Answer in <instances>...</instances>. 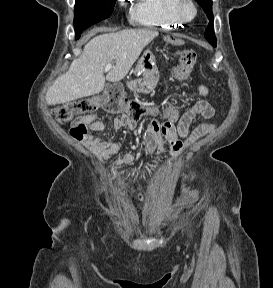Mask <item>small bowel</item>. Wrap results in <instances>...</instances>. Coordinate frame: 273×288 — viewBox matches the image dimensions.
Listing matches in <instances>:
<instances>
[{
  "mask_svg": "<svg viewBox=\"0 0 273 288\" xmlns=\"http://www.w3.org/2000/svg\"><path fill=\"white\" fill-rule=\"evenodd\" d=\"M198 90L203 97H207L209 94L208 88L204 85H200ZM175 99L180 103L183 102L179 96H175ZM215 113V108L208 100L198 99L184 111L177 125L171 121L160 122L151 120L144 136L146 151L159 154L164 150L166 143L171 156H179L186 148L211 133L216 127L213 123H203L190 132L191 124L196 116L200 115L210 120L215 116ZM142 114V110L135 115L122 114L114 119L113 127L115 130L122 128L134 130ZM77 122L87 124V133L77 140L83 143L85 147L100 159L107 160L111 155L117 154L121 150V143L103 140L95 136V133L101 132L105 128L104 124L97 120L95 116H84L77 119L75 123ZM132 161L133 156L130 153H126L117 160L115 165L124 166L130 164Z\"/></svg>",
  "mask_w": 273,
  "mask_h": 288,
  "instance_id": "small-bowel-1",
  "label": "small bowel"
}]
</instances>
